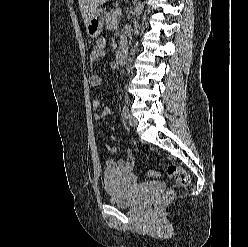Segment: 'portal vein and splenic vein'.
<instances>
[{
  "label": "portal vein and splenic vein",
  "mask_w": 248,
  "mask_h": 247,
  "mask_svg": "<svg viewBox=\"0 0 248 247\" xmlns=\"http://www.w3.org/2000/svg\"><path fill=\"white\" fill-rule=\"evenodd\" d=\"M117 13L120 14L121 13V9H117Z\"/></svg>",
  "instance_id": "obj_1"
}]
</instances>
